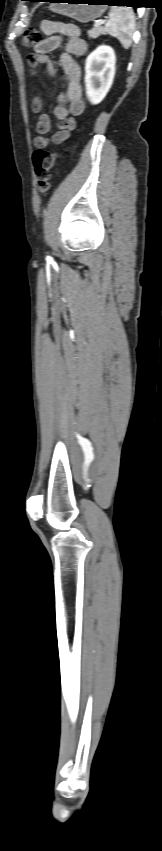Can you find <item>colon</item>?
I'll use <instances>...</instances> for the list:
<instances>
[{
	"label": "colon",
	"mask_w": 162,
	"mask_h": 851,
	"mask_svg": "<svg viewBox=\"0 0 162 851\" xmlns=\"http://www.w3.org/2000/svg\"><path fill=\"white\" fill-rule=\"evenodd\" d=\"M41 41V32L35 28H29L24 33L22 45L26 48H30ZM57 158V154L50 153L43 148H39L33 153V165L37 179V187L42 195L46 194L49 189L51 170L54 167Z\"/></svg>",
	"instance_id": "colon-1"
}]
</instances>
